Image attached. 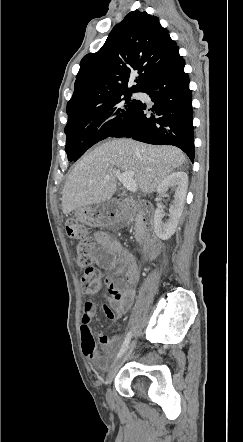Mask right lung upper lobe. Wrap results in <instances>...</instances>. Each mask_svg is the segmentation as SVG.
Returning a JSON list of instances; mask_svg holds the SVG:
<instances>
[{
	"instance_id": "1",
	"label": "right lung upper lobe",
	"mask_w": 243,
	"mask_h": 442,
	"mask_svg": "<svg viewBox=\"0 0 243 442\" xmlns=\"http://www.w3.org/2000/svg\"><path fill=\"white\" fill-rule=\"evenodd\" d=\"M178 50L157 17L139 10L130 12L113 28L98 52L82 58L74 93L67 103L68 118L116 95L140 91L147 79ZM134 75L135 85L128 88Z\"/></svg>"
}]
</instances>
